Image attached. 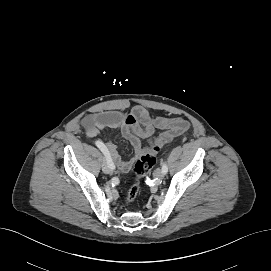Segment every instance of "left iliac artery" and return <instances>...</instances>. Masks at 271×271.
Returning <instances> with one entry per match:
<instances>
[{
    "instance_id": "44dca946",
    "label": "left iliac artery",
    "mask_w": 271,
    "mask_h": 271,
    "mask_svg": "<svg viewBox=\"0 0 271 271\" xmlns=\"http://www.w3.org/2000/svg\"><path fill=\"white\" fill-rule=\"evenodd\" d=\"M162 172L166 174L168 172V167L165 161L162 160Z\"/></svg>"
}]
</instances>
